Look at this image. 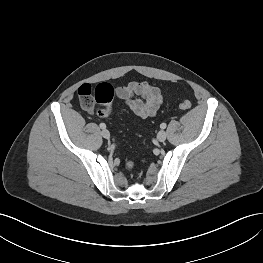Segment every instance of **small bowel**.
<instances>
[{
  "instance_id": "1",
  "label": "small bowel",
  "mask_w": 263,
  "mask_h": 263,
  "mask_svg": "<svg viewBox=\"0 0 263 263\" xmlns=\"http://www.w3.org/2000/svg\"><path fill=\"white\" fill-rule=\"evenodd\" d=\"M115 93L140 118L153 117L163 103L160 89L145 81H132L117 87Z\"/></svg>"
}]
</instances>
